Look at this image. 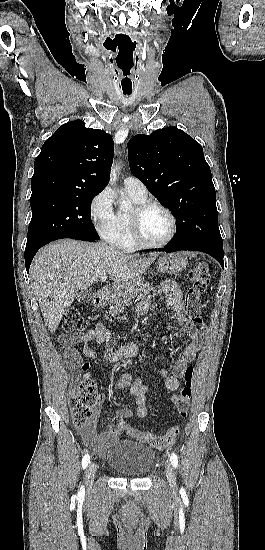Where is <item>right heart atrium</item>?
<instances>
[{"label":"right heart atrium","instance_id":"obj_1","mask_svg":"<svg viewBox=\"0 0 265 550\" xmlns=\"http://www.w3.org/2000/svg\"><path fill=\"white\" fill-rule=\"evenodd\" d=\"M89 215L95 231L108 241L116 224V213L108 189H104L94 196L90 203Z\"/></svg>","mask_w":265,"mask_h":550}]
</instances>
